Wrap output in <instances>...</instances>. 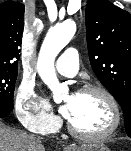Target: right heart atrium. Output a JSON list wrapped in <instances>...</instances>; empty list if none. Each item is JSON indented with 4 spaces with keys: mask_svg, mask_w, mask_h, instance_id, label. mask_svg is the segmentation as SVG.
Wrapping results in <instances>:
<instances>
[{
    "mask_svg": "<svg viewBox=\"0 0 131 151\" xmlns=\"http://www.w3.org/2000/svg\"><path fill=\"white\" fill-rule=\"evenodd\" d=\"M15 110L21 124L30 131L48 133L55 129L58 118L31 82L23 81L15 96Z\"/></svg>",
    "mask_w": 131,
    "mask_h": 151,
    "instance_id": "right-heart-atrium-1",
    "label": "right heart atrium"
}]
</instances>
